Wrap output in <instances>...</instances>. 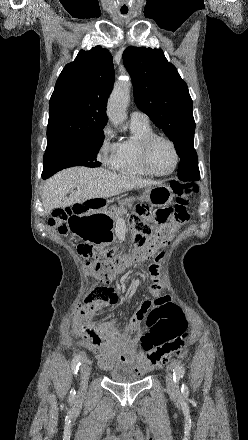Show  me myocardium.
Listing matches in <instances>:
<instances>
[{"label":"myocardium","instance_id":"myocardium-1","mask_svg":"<svg viewBox=\"0 0 248 440\" xmlns=\"http://www.w3.org/2000/svg\"><path fill=\"white\" fill-rule=\"evenodd\" d=\"M159 141H163V142H166L167 144H169L170 147L172 148L173 153H174V157H175L174 165L171 168V170H169L167 172L156 171L152 167L151 162H150L151 150H152L153 146ZM140 162H141V165L144 168V170L149 175L157 176V177H165V176H169V175L173 174L176 171V169L179 165V162H180V154L178 152L177 146L170 138L162 136V135L154 134L143 141L141 148H140Z\"/></svg>","mask_w":248,"mask_h":440}]
</instances>
